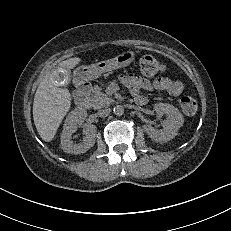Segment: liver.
<instances>
[{
    "mask_svg": "<svg viewBox=\"0 0 231 231\" xmlns=\"http://www.w3.org/2000/svg\"><path fill=\"white\" fill-rule=\"evenodd\" d=\"M81 61L69 58L60 63L63 68L72 69ZM71 106V94L67 88L57 87L53 76L46 75L40 82L33 102V120L40 137L50 142Z\"/></svg>",
    "mask_w": 231,
    "mask_h": 231,
    "instance_id": "6515ba94",
    "label": "liver"
}]
</instances>
